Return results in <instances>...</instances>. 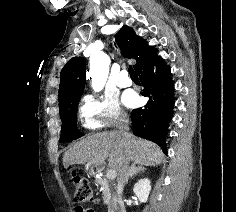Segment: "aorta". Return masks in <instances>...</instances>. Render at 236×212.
<instances>
[{
  "mask_svg": "<svg viewBox=\"0 0 236 212\" xmlns=\"http://www.w3.org/2000/svg\"><path fill=\"white\" fill-rule=\"evenodd\" d=\"M110 58L105 53L90 56V76L92 88L98 92L103 89L109 73Z\"/></svg>",
  "mask_w": 236,
  "mask_h": 212,
  "instance_id": "1",
  "label": "aorta"
}]
</instances>
